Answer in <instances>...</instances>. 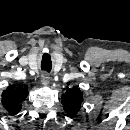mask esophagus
Returning a JSON list of instances; mask_svg holds the SVG:
<instances>
[{"mask_svg": "<svg viewBox=\"0 0 130 130\" xmlns=\"http://www.w3.org/2000/svg\"><path fill=\"white\" fill-rule=\"evenodd\" d=\"M50 79L49 74L46 72L41 75V82L43 85H48L50 83Z\"/></svg>", "mask_w": 130, "mask_h": 130, "instance_id": "obj_1", "label": "esophagus"}]
</instances>
